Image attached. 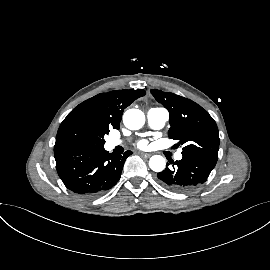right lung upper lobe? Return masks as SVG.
Masks as SVG:
<instances>
[{
  "label": "right lung upper lobe",
  "instance_id": "cb5924a9",
  "mask_svg": "<svg viewBox=\"0 0 270 270\" xmlns=\"http://www.w3.org/2000/svg\"><path fill=\"white\" fill-rule=\"evenodd\" d=\"M145 94L143 89L101 93L82 102L69 114L82 113L88 121L108 131L110 128L119 129L124 109Z\"/></svg>",
  "mask_w": 270,
  "mask_h": 270
}]
</instances>
